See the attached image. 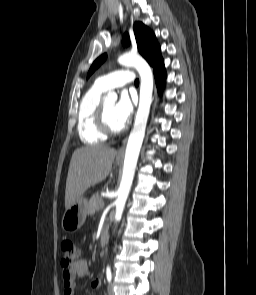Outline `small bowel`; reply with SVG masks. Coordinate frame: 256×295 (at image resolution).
Segmentation results:
<instances>
[{
    "label": "small bowel",
    "instance_id": "obj_1",
    "mask_svg": "<svg viewBox=\"0 0 256 295\" xmlns=\"http://www.w3.org/2000/svg\"><path fill=\"white\" fill-rule=\"evenodd\" d=\"M88 273V263L85 259H78L70 268L62 271V282L64 295H75L76 278H83ZM103 285L101 278H96L92 282L93 289H100Z\"/></svg>",
    "mask_w": 256,
    "mask_h": 295
}]
</instances>
